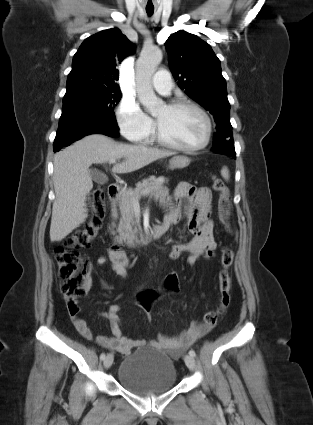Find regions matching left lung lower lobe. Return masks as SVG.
Returning <instances> with one entry per match:
<instances>
[{"mask_svg": "<svg viewBox=\"0 0 313 425\" xmlns=\"http://www.w3.org/2000/svg\"><path fill=\"white\" fill-rule=\"evenodd\" d=\"M233 143V135L231 130L218 131L215 133L212 149L215 153L236 157L235 151L229 150Z\"/></svg>", "mask_w": 313, "mask_h": 425, "instance_id": "1", "label": "left lung lower lobe"}]
</instances>
